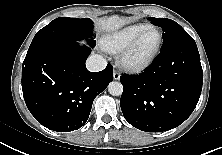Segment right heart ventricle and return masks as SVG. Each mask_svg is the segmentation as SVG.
Masks as SVG:
<instances>
[{
    "label": "right heart ventricle",
    "instance_id": "obj_1",
    "mask_svg": "<svg viewBox=\"0 0 222 155\" xmlns=\"http://www.w3.org/2000/svg\"><path fill=\"white\" fill-rule=\"evenodd\" d=\"M148 23H135L118 29L103 38V46L109 52H119L142 32L150 28Z\"/></svg>",
    "mask_w": 222,
    "mask_h": 155
}]
</instances>
